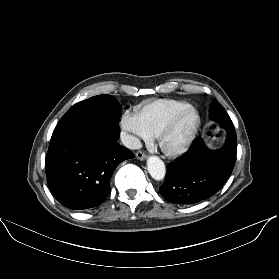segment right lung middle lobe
I'll return each instance as SVG.
<instances>
[{
  "mask_svg": "<svg viewBox=\"0 0 279 279\" xmlns=\"http://www.w3.org/2000/svg\"><path fill=\"white\" fill-rule=\"evenodd\" d=\"M120 104L111 95H98L72 106L56 125L52 136L66 133L104 118L119 120Z\"/></svg>",
  "mask_w": 279,
  "mask_h": 279,
  "instance_id": "obj_1",
  "label": "right lung middle lobe"
}]
</instances>
